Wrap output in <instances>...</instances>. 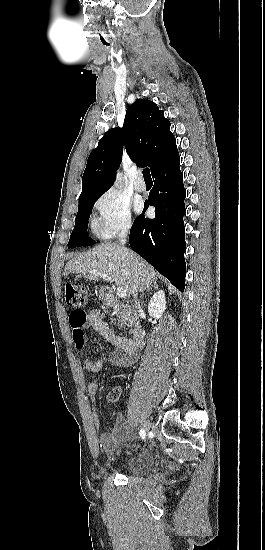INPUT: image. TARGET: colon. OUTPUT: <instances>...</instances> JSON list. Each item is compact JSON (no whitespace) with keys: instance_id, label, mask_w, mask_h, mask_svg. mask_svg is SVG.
I'll return each instance as SVG.
<instances>
[{"instance_id":"5ec220e1","label":"colon","mask_w":265,"mask_h":550,"mask_svg":"<svg viewBox=\"0 0 265 550\" xmlns=\"http://www.w3.org/2000/svg\"><path fill=\"white\" fill-rule=\"evenodd\" d=\"M66 302L72 311L69 315L70 325L73 336L77 339L81 334L86 323V315L83 308L89 300V294L85 287L78 284L68 283L65 287ZM118 396V391L113 390L109 394L111 400Z\"/></svg>"}]
</instances>
